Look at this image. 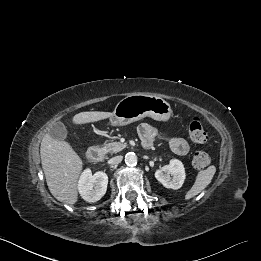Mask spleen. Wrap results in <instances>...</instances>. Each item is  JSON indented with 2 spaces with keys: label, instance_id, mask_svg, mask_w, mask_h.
<instances>
[{
  "label": "spleen",
  "instance_id": "spleen-1",
  "mask_svg": "<svg viewBox=\"0 0 261 261\" xmlns=\"http://www.w3.org/2000/svg\"><path fill=\"white\" fill-rule=\"evenodd\" d=\"M216 172L215 166H209L205 170H201L198 172L195 183L191 187V189L186 193L185 199L189 200L196 195H198L201 191H203L210 183Z\"/></svg>",
  "mask_w": 261,
  "mask_h": 261
}]
</instances>
